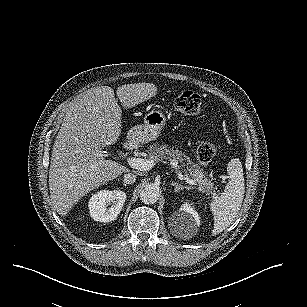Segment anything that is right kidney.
<instances>
[{
    "label": "right kidney",
    "mask_w": 307,
    "mask_h": 307,
    "mask_svg": "<svg viewBox=\"0 0 307 307\" xmlns=\"http://www.w3.org/2000/svg\"><path fill=\"white\" fill-rule=\"evenodd\" d=\"M126 198V193L121 189H102L95 192L88 200L90 218L103 223L114 221L121 212ZM109 203L111 207L107 209Z\"/></svg>",
    "instance_id": "obj_1"
}]
</instances>
